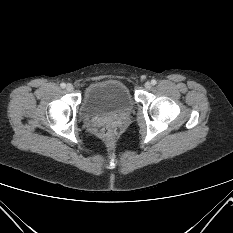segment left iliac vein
<instances>
[{
	"label": "left iliac vein",
	"mask_w": 233,
	"mask_h": 233,
	"mask_svg": "<svg viewBox=\"0 0 233 233\" xmlns=\"http://www.w3.org/2000/svg\"><path fill=\"white\" fill-rule=\"evenodd\" d=\"M144 86H145L146 89H150L151 88V83L150 82H146Z\"/></svg>",
	"instance_id": "obj_1"
}]
</instances>
